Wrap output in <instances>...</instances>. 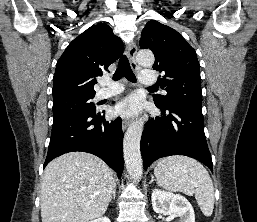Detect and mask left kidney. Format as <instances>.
Instances as JSON below:
<instances>
[{"mask_svg": "<svg viewBox=\"0 0 257 222\" xmlns=\"http://www.w3.org/2000/svg\"><path fill=\"white\" fill-rule=\"evenodd\" d=\"M156 213L180 217V222H195V214L189 201L180 194L154 189L151 196Z\"/></svg>", "mask_w": 257, "mask_h": 222, "instance_id": "left-kidney-1", "label": "left kidney"}]
</instances>
